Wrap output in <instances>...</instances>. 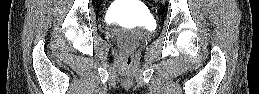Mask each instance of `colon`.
Returning a JSON list of instances; mask_svg holds the SVG:
<instances>
[{
	"label": "colon",
	"mask_w": 259,
	"mask_h": 94,
	"mask_svg": "<svg viewBox=\"0 0 259 94\" xmlns=\"http://www.w3.org/2000/svg\"><path fill=\"white\" fill-rule=\"evenodd\" d=\"M122 62L125 66H130L132 63L130 47L127 45L122 48Z\"/></svg>",
	"instance_id": "colon-1"
}]
</instances>
